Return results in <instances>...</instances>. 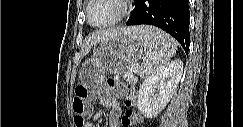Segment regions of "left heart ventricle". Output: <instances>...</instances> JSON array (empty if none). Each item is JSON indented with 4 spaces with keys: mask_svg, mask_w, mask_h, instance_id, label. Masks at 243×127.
<instances>
[{
    "mask_svg": "<svg viewBox=\"0 0 243 127\" xmlns=\"http://www.w3.org/2000/svg\"><path fill=\"white\" fill-rule=\"evenodd\" d=\"M120 12V6L114 0H95L90 7V19L95 24L110 21Z\"/></svg>",
    "mask_w": 243,
    "mask_h": 127,
    "instance_id": "obj_1",
    "label": "left heart ventricle"
}]
</instances>
